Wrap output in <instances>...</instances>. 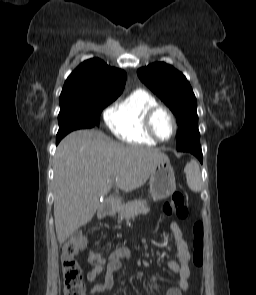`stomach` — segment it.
Returning a JSON list of instances; mask_svg holds the SVG:
<instances>
[{"label": "stomach", "instance_id": "obj_1", "mask_svg": "<svg viewBox=\"0 0 256 295\" xmlns=\"http://www.w3.org/2000/svg\"><path fill=\"white\" fill-rule=\"evenodd\" d=\"M176 190L175 173L169 159L160 161L150 177V193L153 200L169 197Z\"/></svg>", "mask_w": 256, "mask_h": 295}]
</instances>
